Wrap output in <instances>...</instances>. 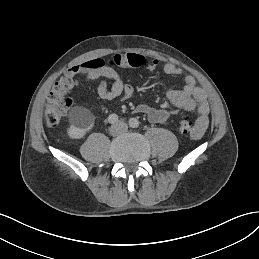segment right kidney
<instances>
[{"instance_id": "ca27d5eb", "label": "right kidney", "mask_w": 259, "mask_h": 259, "mask_svg": "<svg viewBox=\"0 0 259 259\" xmlns=\"http://www.w3.org/2000/svg\"><path fill=\"white\" fill-rule=\"evenodd\" d=\"M70 126L67 136L71 140H80L92 130L95 125L94 115L85 107H73L69 113Z\"/></svg>"}]
</instances>
